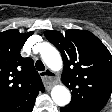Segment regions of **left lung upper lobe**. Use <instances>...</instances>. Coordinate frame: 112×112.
<instances>
[{
	"label": "left lung upper lobe",
	"instance_id": "obj_1",
	"mask_svg": "<svg viewBox=\"0 0 112 112\" xmlns=\"http://www.w3.org/2000/svg\"><path fill=\"white\" fill-rule=\"evenodd\" d=\"M44 34L62 54V82L72 91L66 107L99 112L112 92V56L108 49L87 30L71 29L65 35L47 30Z\"/></svg>",
	"mask_w": 112,
	"mask_h": 112
}]
</instances>
